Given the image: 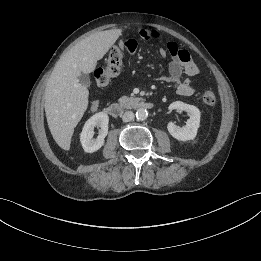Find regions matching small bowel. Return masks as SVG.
<instances>
[{
	"mask_svg": "<svg viewBox=\"0 0 261 261\" xmlns=\"http://www.w3.org/2000/svg\"><path fill=\"white\" fill-rule=\"evenodd\" d=\"M139 37L142 40L150 41L159 37V32L151 28H143L139 31ZM119 46L127 54H133L137 47V42L134 39L120 41ZM158 53L162 57H170L168 74L163 75L162 81L175 85L176 92L181 96H191L195 92L193 83L194 78L199 74V69L192 60L189 52L181 49L175 42L169 41L164 48H159ZM182 74H186L188 79L181 80ZM99 107V101L95 100L91 104L93 111Z\"/></svg>",
	"mask_w": 261,
	"mask_h": 261,
	"instance_id": "obj_1",
	"label": "small bowel"
}]
</instances>
